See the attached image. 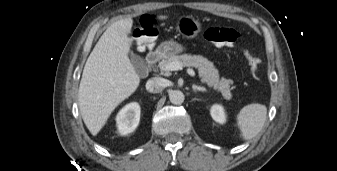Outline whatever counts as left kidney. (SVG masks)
I'll use <instances>...</instances> for the list:
<instances>
[{
  "label": "left kidney",
  "instance_id": "1",
  "mask_svg": "<svg viewBox=\"0 0 337 171\" xmlns=\"http://www.w3.org/2000/svg\"><path fill=\"white\" fill-rule=\"evenodd\" d=\"M210 113H211L212 118L216 122H218L220 124L225 123V121H226V115H225L224 109H223V107L221 105H218V104L213 105L211 107Z\"/></svg>",
  "mask_w": 337,
  "mask_h": 171
}]
</instances>
